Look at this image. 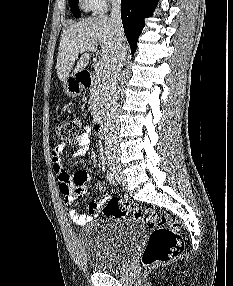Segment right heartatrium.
Listing matches in <instances>:
<instances>
[{
  "instance_id": "1",
  "label": "right heart atrium",
  "mask_w": 233,
  "mask_h": 286,
  "mask_svg": "<svg viewBox=\"0 0 233 286\" xmlns=\"http://www.w3.org/2000/svg\"><path fill=\"white\" fill-rule=\"evenodd\" d=\"M111 0H91L94 10L104 11Z\"/></svg>"
}]
</instances>
